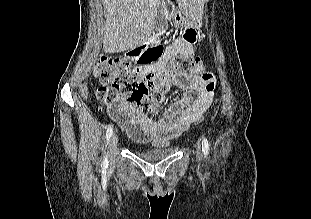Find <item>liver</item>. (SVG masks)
Returning a JSON list of instances; mask_svg holds the SVG:
<instances>
[{
	"label": "liver",
	"instance_id": "obj_1",
	"mask_svg": "<svg viewBox=\"0 0 311 219\" xmlns=\"http://www.w3.org/2000/svg\"><path fill=\"white\" fill-rule=\"evenodd\" d=\"M163 0H103L105 27L103 49L118 53L136 48L151 36ZM180 10L193 21L202 19L205 0H177Z\"/></svg>",
	"mask_w": 311,
	"mask_h": 219
}]
</instances>
